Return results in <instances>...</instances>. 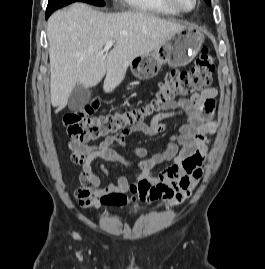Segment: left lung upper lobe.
<instances>
[{"instance_id": "1", "label": "left lung upper lobe", "mask_w": 265, "mask_h": 269, "mask_svg": "<svg viewBox=\"0 0 265 269\" xmlns=\"http://www.w3.org/2000/svg\"><path fill=\"white\" fill-rule=\"evenodd\" d=\"M209 5L211 4V0H205Z\"/></svg>"}]
</instances>
